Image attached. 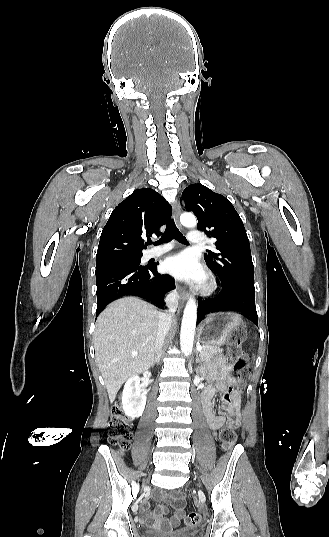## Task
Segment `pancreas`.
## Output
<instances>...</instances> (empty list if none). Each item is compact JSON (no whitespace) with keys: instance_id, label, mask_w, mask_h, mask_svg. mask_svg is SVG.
<instances>
[{"instance_id":"obj_1","label":"pancreas","mask_w":329,"mask_h":537,"mask_svg":"<svg viewBox=\"0 0 329 537\" xmlns=\"http://www.w3.org/2000/svg\"><path fill=\"white\" fill-rule=\"evenodd\" d=\"M221 353V350L212 345H204L202 350L199 352V355L204 361H211L215 359L216 355Z\"/></svg>"}]
</instances>
